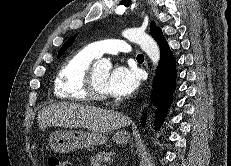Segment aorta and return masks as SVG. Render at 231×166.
Listing matches in <instances>:
<instances>
[{
    "label": "aorta",
    "instance_id": "obj_1",
    "mask_svg": "<svg viewBox=\"0 0 231 166\" xmlns=\"http://www.w3.org/2000/svg\"><path fill=\"white\" fill-rule=\"evenodd\" d=\"M122 35L126 39L140 45L142 50L151 59L153 65L154 66L158 65V62L160 60V50H159L157 43L154 41L153 38H151L145 32L137 28L126 29L122 32ZM94 67L96 69L109 72L112 68V64L109 59L102 58V59L97 60L94 63Z\"/></svg>",
    "mask_w": 231,
    "mask_h": 166
}]
</instances>
